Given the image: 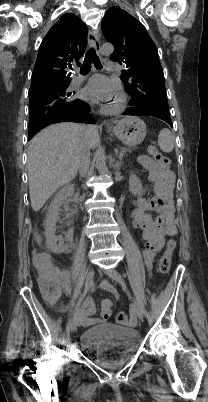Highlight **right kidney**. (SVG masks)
Listing matches in <instances>:
<instances>
[{
  "mask_svg": "<svg viewBox=\"0 0 208 402\" xmlns=\"http://www.w3.org/2000/svg\"><path fill=\"white\" fill-rule=\"evenodd\" d=\"M74 196V186L73 184H66V186H63L59 192H57L55 198H53V202L50 204V210L49 214L46 218L45 222V238H46V244L51 250V252H54V254H63V252H66L68 250L67 244H63L64 240L60 242V244H57L58 236H55L56 232V222L60 220L59 212H61V208H64L65 212L69 210V206H67L69 202V198H72ZM68 242H71L73 238V232L70 230L69 234L66 236Z\"/></svg>",
  "mask_w": 208,
  "mask_h": 402,
  "instance_id": "right-kidney-1",
  "label": "right kidney"
}]
</instances>
